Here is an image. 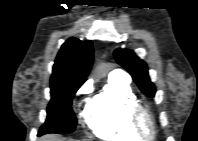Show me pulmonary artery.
<instances>
[{
  "mask_svg": "<svg viewBox=\"0 0 198 141\" xmlns=\"http://www.w3.org/2000/svg\"><path fill=\"white\" fill-rule=\"evenodd\" d=\"M109 78L111 79H118L122 81H128L129 76L120 70H114L110 73Z\"/></svg>",
  "mask_w": 198,
  "mask_h": 141,
  "instance_id": "e3ab8cb5",
  "label": "pulmonary artery"
}]
</instances>
